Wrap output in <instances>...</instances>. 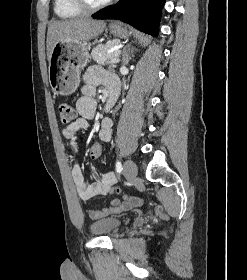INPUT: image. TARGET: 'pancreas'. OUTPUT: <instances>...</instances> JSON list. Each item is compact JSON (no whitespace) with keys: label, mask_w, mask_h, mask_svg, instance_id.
<instances>
[{"label":"pancreas","mask_w":247,"mask_h":280,"mask_svg":"<svg viewBox=\"0 0 247 280\" xmlns=\"http://www.w3.org/2000/svg\"><path fill=\"white\" fill-rule=\"evenodd\" d=\"M116 45V42H110L105 45H98L92 50L91 56L93 60L98 64H108L115 57V52L108 53V51ZM120 50H117V52Z\"/></svg>","instance_id":"cf45deb5"}]
</instances>
